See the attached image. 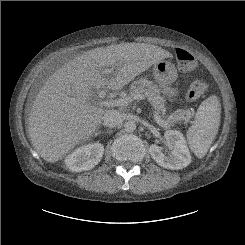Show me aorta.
<instances>
[{
  "label": "aorta",
  "instance_id": "762f6f07",
  "mask_svg": "<svg viewBox=\"0 0 245 245\" xmlns=\"http://www.w3.org/2000/svg\"><path fill=\"white\" fill-rule=\"evenodd\" d=\"M136 129V123L134 121H127L124 123V130L126 132H133Z\"/></svg>",
  "mask_w": 245,
  "mask_h": 245
}]
</instances>
